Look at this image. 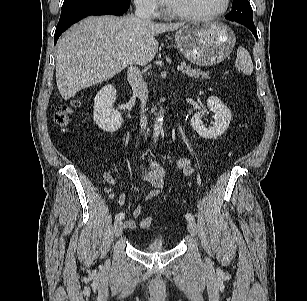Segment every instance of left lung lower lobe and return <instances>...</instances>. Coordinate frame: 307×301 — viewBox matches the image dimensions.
<instances>
[{
  "label": "left lung lower lobe",
  "instance_id": "1",
  "mask_svg": "<svg viewBox=\"0 0 307 301\" xmlns=\"http://www.w3.org/2000/svg\"><path fill=\"white\" fill-rule=\"evenodd\" d=\"M236 22H238V21H236ZM238 23H241V24L245 25L246 27H248L252 31V33L254 34L255 38L258 39L257 31H256L254 23H246V22H238Z\"/></svg>",
  "mask_w": 307,
  "mask_h": 301
}]
</instances>
